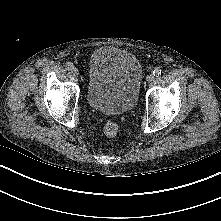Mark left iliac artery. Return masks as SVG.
Returning <instances> with one entry per match:
<instances>
[{
  "mask_svg": "<svg viewBox=\"0 0 221 221\" xmlns=\"http://www.w3.org/2000/svg\"><path fill=\"white\" fill-rule=\"evenodd\" d=\"M153 75L159 77L161 75V70L159 68L154 69Z\"/></svg>",
  "mask_w": 221,
  "mask_h": 221,
  "instance_id": "left-iliac-artery-1",
  "label": "left iliac artery"
}]
</instances>
